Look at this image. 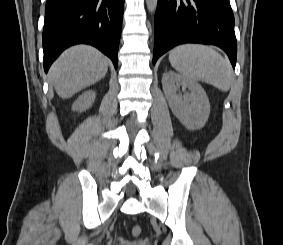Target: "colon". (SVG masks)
<instances>
[{
    "label": "colon",
    "mask_w": 283,
    "mask_h": 245,
    "mask_svg": "<svg viewBox=\"0 0 283 245\" xmlns=\"http://www.w3.org/2000/svg\"><path fill=\"white\" fill-rule=\"evenodd\" d=\"M141 232H142V227L140 225L133 226V228H132V235L133 236L137 237L141 234Z\"/></svg>",
    "instance_id": "5ec220e1"
}]
</instances>
